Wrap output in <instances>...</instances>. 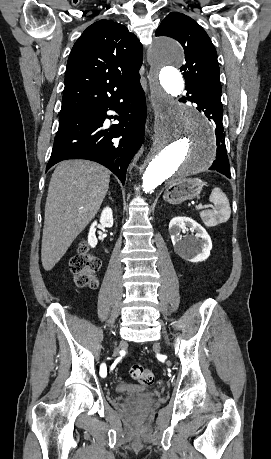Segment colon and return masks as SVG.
I'll list each match as a JSON object with an SVG mask.
<instances>
[{"label": "colon", "instance_id": "obj_1", "mask_svg": "<svg viewBox=\"0 0 271 459\" xmlns=\"http://www.w3.org/2000/svg\"><path fill=\"white\" fill-rule=\"evenodd\" d=\"M76 4L79 0H71ZM70 270L74 276L76 285L80 288H95L97 279L95 273L100 267V261L91 252L86 242H81L77 253L70 259ZM130 375L139 383L149 386L154 382V374L149 369L140 364H135L130 368Z\"/></svg>", "mask_w": 271, "mask_h": 459}]
</instances>
